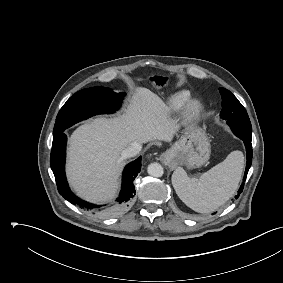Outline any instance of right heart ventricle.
I'll return each mask as SVG.
<instances>
[{"instance_id":"obj_1","label":"right heart ventricle","mask_w":283,"mask_h":283,"mask_svg":"<svg viewBox=\"0 0 283 283\" xmlns=\"http://www.w3.org/2000/svg\"><path fill=\"white\" fill-rule=\"evenodd\" d=\"M190 97V92L186 90L171 94L161 106L163 114L172 115L177 113Z\"/></svg>"}]
</instances>
